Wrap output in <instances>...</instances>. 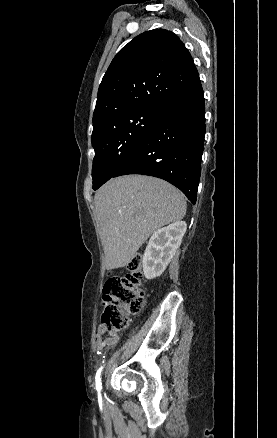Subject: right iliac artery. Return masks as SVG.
Here are the masks:
<instances>
[{"label": "right iliac artery", "instance_id": "obj_1", "mask_svg": "<svg viewBox=\"0 0 277 438\" xmlns=\"http://www.w3.org/2000/svg\"><path fill=\"white\" fill-rule=\"evenodd\" d=\"M103 367H100L99 370L96 373V390L98 392V396L101 399V390H102V386H101V373H102Z\"/></svg>", "mask_w": 277, "mask_h": 438}]
</instances>
